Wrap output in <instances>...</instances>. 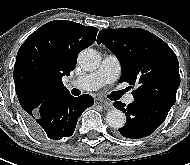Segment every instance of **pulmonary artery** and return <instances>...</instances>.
<instances>
[{
	"label": "pulmonary artery",
	"instance_id": "e3ab8cb5",
	"mask_svg": "<svg viewBox=\"0 0 190 165\" xmlns=\"http://www.w3.org/2000/svg\"><path fill=\"white\" fill-rule=\"evenodd\" d=\"M121 72V63L114 55L106 56L100 67L85 76L76 78L71 81V84L81 90H96L108 83L114 82ZM134 101L132 94L125 97V103L131 104Z\"/></svg>",
	"mask_w": 190,
	"mask_h": 165
}]
</instances>
